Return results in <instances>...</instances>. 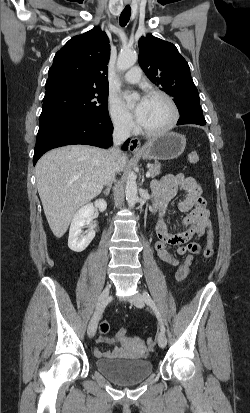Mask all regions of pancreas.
Returning a JSON list of instances; mask_svg holds the SVG:
<instances>
[{"label":"pancreas","instance_id":"1","mask_svg":"<svg viewBox=\"0 0 250 413\" xmlns=\"http://www.w3.org/2000/svg\"><path fill=\"white\" fill-rule=\"evenodd\" d=\"M160 171H161V165H160V163H155V164H153V165L150 167V169H149V172L151 173V177H152V178H154V177H156L157 175H159V174H160Z\"/></svg>","mask_w":250,"mask_h":413}]
</instances>
